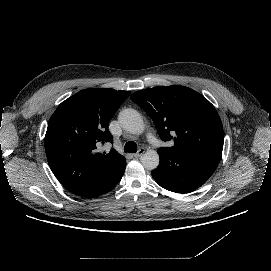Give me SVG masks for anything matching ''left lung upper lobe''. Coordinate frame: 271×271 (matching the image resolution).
Wrapping results in <instances>:
<instances>
[{
	"label": "left lung upper lobe",
	"instance_id": "5c2ea615",
	"mask_svg": "<svg viewBox=\"0 0 271 271\" xmlns=\"http://www.w3.org/2000/svg\"><path fill=\"white\" fill-rule=\"evenodd\" d=\"M131 100L147 112L162 140L174 141L171 150L221 157L220 117L198 92L184 86L154 87L135 92Z\"/></svg>",
	"mask_w": 271,
	"mask_h": 271
}]
</instances>
